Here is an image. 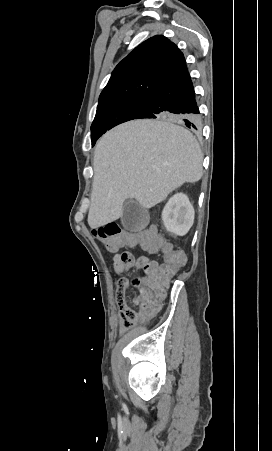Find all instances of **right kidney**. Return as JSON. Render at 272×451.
<instances>
[{
    "label": "right kidney",
    "instance_id": "right-kidney-1",
    "mask_svg": "<svg viewBox=\"0 0 272 451\" xmlns=\"http://www.w3.org/2000/svg\"><path fill=\"white\" fill-rule=\"evenodd\" d=\"M194 208L186 194H175L168 200L163 212L162 220L167 231L176 235H185L194 224Z\"/></svg>",
    "mask_w": 272,
    "mask_h": 451
}]
</instances>
